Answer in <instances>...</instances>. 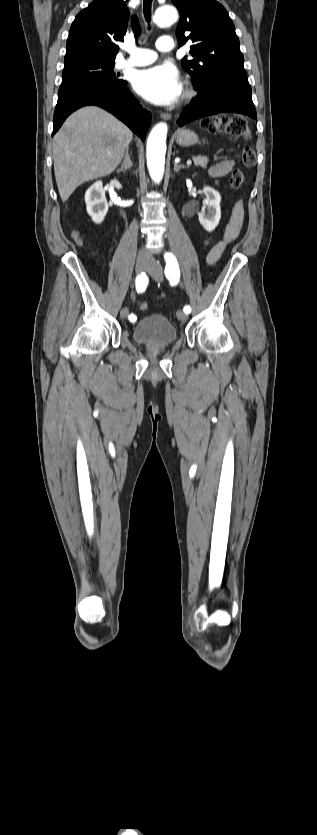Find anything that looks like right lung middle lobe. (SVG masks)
Returning a JSON list of instances; mask_svg holds the SVG:
<instances>
[{"label":"right lung middle lobe","instance_id":"1","mask_svg":"<svg viewBox=\"0 0 317 835\" xmlns=\"http://www.w3.org/2000/svg\"><path fill=\"white\" fill-rule=\"evenodd\" d=\"M115 62L100 59H73L65 61L62 83L58 94L97 84L124 85L127 82L113 72Z\"/></svg>","mask_w":317,"mask_h":835}]
</instances>
